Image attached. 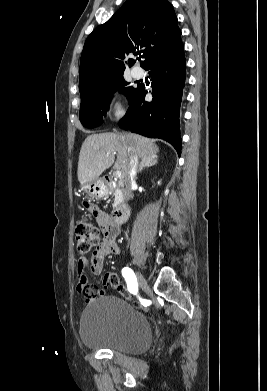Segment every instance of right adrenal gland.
<instances>
[{
    "mask_svg": "<svg viewBox=\"0 0 267 391\" xmlns=\"http://www.w3.org/2000/svg\"><path fill=\"white\" fill-rule=\"evenodd\" d=\"M156 164H157V158H152V159H144L143 158L139 164V168H138L137 173L142 172V170L146 167H151Z\"/></svg>",
    "mask_w": 267,
    "mask_h": 391,
    "instance_id": "2a0ac1e0",
    "label": "right adrenal gland"
}]
</instances>
